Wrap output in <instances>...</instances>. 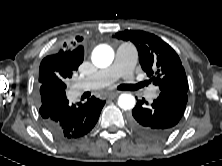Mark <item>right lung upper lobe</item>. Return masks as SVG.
Masks as SVG:
<instances>
[{"label":"right lung upper lobe","mask_w":222,"mask_h":166,"mask_svg":"<svg viewBox=\"0 0 222 166\" xmlns=\"http://www.w3.org/2000/svg\"><path fill=\"white\" fill-rule=\"evenodd\" d=\"M82 39V37L78 36L74 41L64 43L55 54L49 55L42 60L39 70L65 68L77 70L84 57L83 47L78 44Z\"/></svg>","instance_id":"1"}]
</instances>
